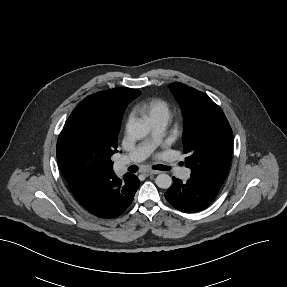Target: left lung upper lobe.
<instances>
[{
  "label": "left lung upper lobe",
  "instance_id": "left-lung-upper-lobe-1",
  "mask_svg": "<svg viewBox=\"0 0 287 287\" xmlns=\"http://www.w3.org/2000/svg\"><path fill=\"white\" fill-rule=\"evenodd\" d=\"M170 88L184 116V153L189 155L185 166L191 176L220 188L232 156L233 134L225 115L205 93L179 82Z\"/></svg>",
  "mask_w": 287,
  "mask_h": 287
}]
</instances>
